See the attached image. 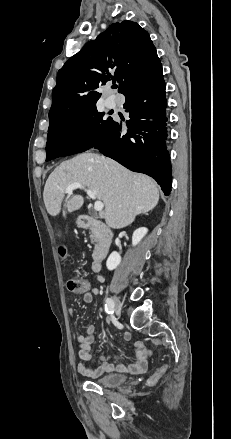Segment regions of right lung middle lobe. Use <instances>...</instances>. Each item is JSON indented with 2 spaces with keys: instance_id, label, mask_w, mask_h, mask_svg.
<instances>
[{
  "instance_id": "1",
  "label": "right lung middle lobe",
  "mask_w": 231,
  "mask_h": 439,
  "mask_svg": "<svg viewBox=\"0 0 231 439\" xmlns=\"http://www.w3.org/2000/svg\"><path fill=\"white\" fill-rule=\"evenodd\" d=\"M96 107L50 123L47 135L46 161L73 155L92 148L110 128L111 118Z\"/></svg>"
}]
</instances>
